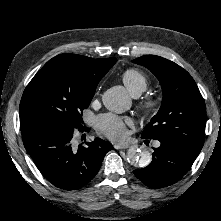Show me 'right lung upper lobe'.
Instances as JSON below:
<instances>
[{
  "label": "right lung upper lobe",
  "mask_w": 221,
  "mask_h": 221,
  "mask_svg": "<svg viewBox=\"0 0 221 221\" xmlns=\"http://www.w3.org/2000/svg\"><path fill=\"white\" fill-rule=\"evenodd\" d=\"M114 62H116V58L93 59L65 53L48 61L36 75H46L57 83L71 88L96 90L99 81L115 64ZM20 125L21 133H25L34 127L45 124L21 119Z\"/></svg>",
  "instance_id": "1"
}]
</instances>
